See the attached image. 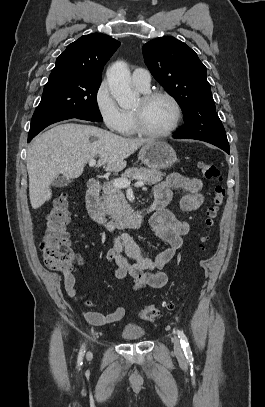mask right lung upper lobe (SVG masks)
Instances as JSON below:
<instances>
[{
    "mask_svg": "<svg viewBox=\"0 0 265 407\" xmlns=\"http://www.w3.org/2000/svg\"><path fill=\"white\" fill-rule=\"evenodd\" d=\"M119 45V41L105 34L84 35L69 44L57 58L50 76L67 74L91 80H101L104 65Z\"/></svg>",
    "mask_w": 265,
    "mask_h": 407,
    "instance_id": "1",
    "label": "right lung upper lobe"
}]
</instances>
